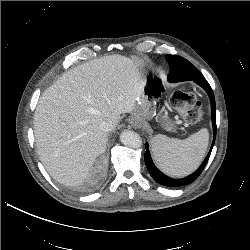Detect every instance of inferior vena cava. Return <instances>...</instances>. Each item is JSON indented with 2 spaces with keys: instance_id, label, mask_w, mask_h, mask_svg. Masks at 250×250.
I'll list each match as a JSON object with an SVG mask.
<instances>
[{
  "instance_id": "602c4592",
  "label": "inferior vena cava",
  "mask_w": 250,
  "mask_h": 250,
  "mask_svg": "<svg viewBox=\"0 0 250 250\" xmlns=\"http://www.w3.org/2000/svg\"><path fill=\"white\" fill-rule=\"evenodd\" d=\"M99 129L103 132H109L112 130V124L109 121H102L99 124Z\"/></svg>"
}]
</instances>
